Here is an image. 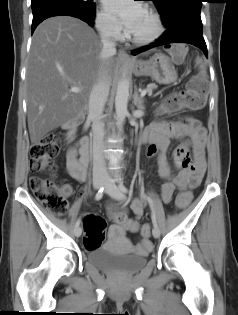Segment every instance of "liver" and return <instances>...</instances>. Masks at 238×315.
Listing matches in <instances>:
<instances>
[{"label":"liver","instance_id":"1","mask_svg":"<svg viewBox=\"0 0 238 315\" xmlns=\"http://www.w3.org/2000/svg\"><path fill=\"white\" fill-rule=\"evenodd\" d=\"M102 44L85 22L70 16L43 21L35 30L26 73L27 120L31 143L51 130L85 117L101 66L115 78L118 61L101 60ZM72 87L80 92H71Z\"/></svg>","mask_w":238,"mask_h":315}]
</instances>
